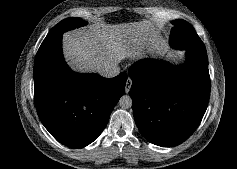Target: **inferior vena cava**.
Segmentation results:
<instances>
[{
	"instance_id": "inferior-vena-cava-1",
	"label": "inferior vena cava",
	"mask_w": 237,
	"mask_h": 169,
	"mask_svg": "<svg viewBox=\"0 0 237 169\" xmlns=\"http://www.w3.org/2000/svg\"><path fill=\"white\" fill-rule=\"evenodd\" d=\"M120 73V68L118 65L116 64H110V65H107L105 66L102 71L100 72V74L103 76V77H106V78H112V77H115L117 75H119Z\"/></svg>"
}]
</instances>
